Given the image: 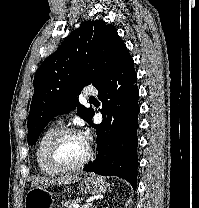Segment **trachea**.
<instances>
[{
    "label": "trachea",
    "instance_id": "obj_1",
    "mask_svg": "<svg viewBox=\"0 0 199 208\" xmlns=\"http://www.w3.org/2000/svg\"><path fill=\"white\" fill-rule=\"evenodd\" d=\"M89 101H96V99L93 97V98H89Z\"/></svg>",
    "mask_w": 199,
    "mask_h": 208
}]
</instances>
